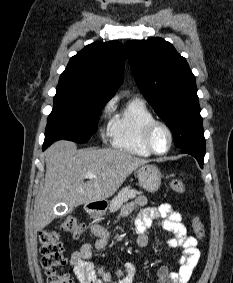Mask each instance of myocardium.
Segmentation results:
<instances>
[{"mask_svg": "<svg viewBox=\"0 0 233 283\" xmlns=\"http://www.w3.org/2000/svg\"><path fill=\"white\" fill-rule=\"evenodd\" d=\"M157 127H162L167 132L168 137H169L168 147L164 151L156 150L153 147L152 142H151L152 133L155 130V128H157ZM142 142H143V145L145 146V148L151 154H154V155H164V154L168 153L171 150V148L173 146V142H174V137H173L172 130L170 129V127L164 121H161V120H158V119H154V120L148 122L144 126V128L142 130Z\"/></svg>", "mask_w": 233, "mask_h": 283, "instance_id": "f54148a6", "label": "myocardium"}]
</instances>
